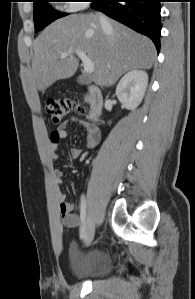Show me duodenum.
<instances>
[{
    "label": "duodenum",
    "mask_w": 195,
    "mask_h": 299,
    "mask_svg": "<svg viewBox=\"0 0 195 299\" xmlns=\"http://www.w3.org/2000/svg\"><path fill=\"white\" fill-rule=\"evenodd\" d=\"M87 101L89 105L88 118L91 121H97L101 115L103 108V96L99 88L90 85L87 90Z\"/></svg>",
    "instance_id": "duodenum-1"
}]
</instances>
